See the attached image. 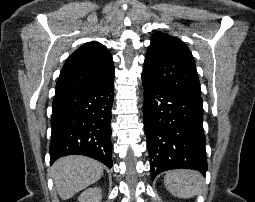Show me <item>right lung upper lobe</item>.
Here are the masks:
<instances>
[{
  "mask_svg": "<svg viewBox=\"0 0 255 202\" xmlns=\"http://www.w3.org/2000/svg\"><path fill=\"white\" fill-rule=\"evenodd\" d=\"M113 79L110 52L99 42H88L67 59L56 84V95L102 86Z\"/></svg>",
  "mask_w": 255,
  "mask_h": 202,
  "instance_id": "obj_1",
  "label": "right lung upper lobe"
}]
</instances>
